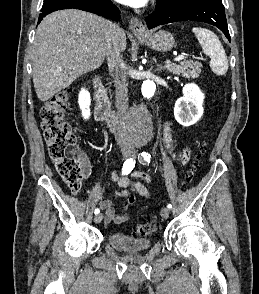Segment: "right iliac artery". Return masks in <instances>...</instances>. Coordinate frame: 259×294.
<instances>
[{
	"label": "right iliac artery",
	"mask_w": 259,
	"mask_h": 294,
	"mask_svg": "<svg viewBox=\"0 0 259 294\" xmlns=\"http://www.w3.org/2000/svg\"><path fill=\"white\" fill-rule=\"evenodd\" d=\"M134 167H135V160H133L132 158L127 159L123 164L122 175H128L133 170ZM99 212L100 210L98 208H96L94 211L95 214H98Z\"/></svg>",
	"instance_id": "obj_1"
}]
</instances>
